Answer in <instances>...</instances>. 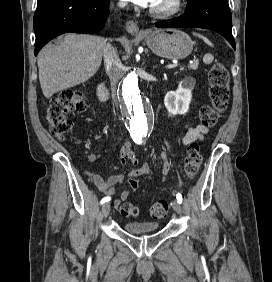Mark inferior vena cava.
I'll list each match as a JSON object with an SVG mask.
<instances>
[{"mask_svg": "<svg viewBox=\"0 0 272 282\" xmlns=\"http://www.w3.org/2000/svg\"><path fill=\"white\" fill-rule=\"evenodd\" d=\"M123 7L122 4L119 5ZM104 55V64L106 72L110 79V86L112 92V100L113 103L118 106L117 98H116V86L122 77V64L117 54L115 48H113L109 43H107L103 50Z\"/></svg>", "mask_w": 272, "mask_h": 282, "instance_id": "obj_1", "label": "inferior vena cava"}]
</instances>
